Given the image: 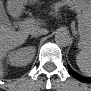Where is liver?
<instances>
[{
	"label": "liver",
	"mask_w": 91,
	"mask_h": 91,
	"mask_svg": "<svg viewBox=\"0 0 91 91\" xmlns=\"http://www.w3.org/2000/svg\"><path fill=\"white\" fill-rule=\"evenodd\" d=\"M4 20L7 23H2L1 25V55H3L8 49L24 43L28 35L32 32V29L36 28L37 24L35 21L30 20L22 24L19 31H15L7 20L6 15L4 17ZM29 51L27 56L22 59L19 65H24L32 60L34 50H32V52Z\"/></svg>",
	"instance_id": "1"
}]
</instances>
